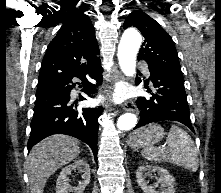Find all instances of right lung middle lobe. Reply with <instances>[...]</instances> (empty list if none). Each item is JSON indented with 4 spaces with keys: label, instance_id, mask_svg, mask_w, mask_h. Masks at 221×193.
I'll use <instances>...</instances> for the list:
<instances>
[{
    "label": "right lung middle lobe",
    "instance_id": "1",
    "mask_svg": "<svg viewBox=\"0 0 221 193\" xmlns=\"http://www.w3.org/2000/svg\"><path fill=\"white\" fill-rule=\"evenodd\" d=\"M40 89H42V88H37V90H40Z\"/></svg>",
    "mask_w": 221,
    "mask_h": 193
}]
</instances>
